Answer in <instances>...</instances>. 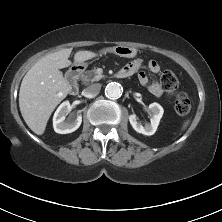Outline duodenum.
Returning <instances> with one entry per match:
<instances>
[{
    "instance_id": "1",
    "label": "duodenum",
    "mask_w": 222,
    "mask_h": 222,
    "mask_svg": "<svg viewBox=\"0 0 222 222\" xmlns=\"http://www.w3.org/2000/svg\"><path fill=\"white\" fill-rule=\"evenodd\" d=\"M82 72H83V67L80 65H76L72 67L70 70L71 85H70L69 90L72 95H77L79 92L78 80ZM128 76H129V73L122 70H119L116 74V77L118 78H125Z\"/></svg>"
}]
</instances>
